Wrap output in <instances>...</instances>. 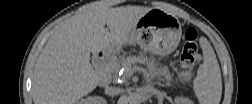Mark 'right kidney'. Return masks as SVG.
<instances>
[{"mask_svg": "<svg viewBox=\"0 0 252 104\" xmlns=\"http://www.w3.org/2000/svg\"><path fill=\"white\" fill-rule=\"evenodd\" d=\"M106 100L99 96L87 97L79 101V104H105Z\"/></svg>", "mask_w": 252, "mask_h": 104, "instance_id": "obj_1", "label": "right kidney"}]
</instances>
